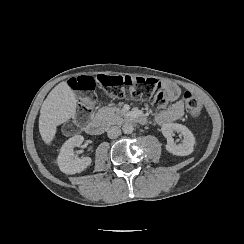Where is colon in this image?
I'll return each instance as SVG.
<instances>
[{
	"label": "colon",
	"mask_w": 244,
	"mask_h": 244,
	"mask_svg": "<svg viewBox=\"0 0 244 244\" xmlns=\"http://www.w3.org/2000/svg\"><path fill=\"white\" fill-rule=\"evenodd\" d=\"M70 87L82 93L80 109L76 118H71L64 124L67 134H75L83 128L94 112V103L97 100L95 90L97 87L106 91V94L115 99L131 97L133 99L153 100L157 106L163 107L168 103L167 92L162 89V83L156 78L132 75H92L83 74L70 80ZM186 104V115L196 119L202 110L201 101L190 91L183 93Z\"/></svg>",
	"instance_id": "1"
}]
</instances>
